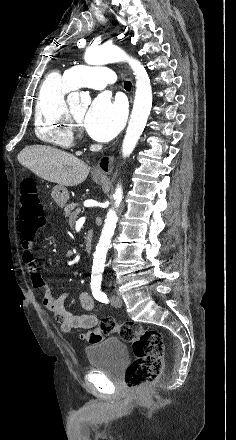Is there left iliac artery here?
Instances as JSON below:
<instances>
[{"label": "left iliac artery", "mask_w": 236, "mask_h": 440, "mask_svg": "<svg viewBox=\"0 0 236 440\" xmlns=\"http://www.w3.org/2000/svg\"><path fill=\"white\" fill-rule=\"evenodd\" d=\"M92 294L94 298L102 303H108L109 300L107 298V295L101 291L100 285H92L91 286Z\"/></svg>", "instance_id": "1"}]
</instances>
